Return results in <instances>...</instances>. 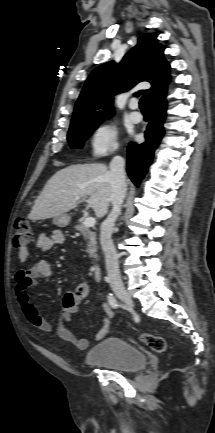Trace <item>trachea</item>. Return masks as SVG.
I'll use <instances>...</instances> for the list:
<instances>
[{"label":"trachea","mask_w":215,"mask_h":433,"mask_svg":"<svg viewBox=\"0 0 215 433\" xmlns=\"http://www.w3.org/2000/svg\"><path fill=\"white\" fill-rule=\"evenodd\" d=\"M139 107L142 111H149L146 95H143L139 102Z\"/></svg>","instance_id":"trachea-1"}]
</instances>
